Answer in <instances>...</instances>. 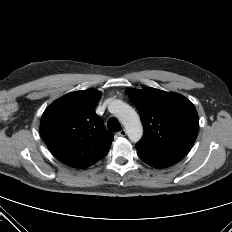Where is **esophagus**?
Listing matches in <instances>:
<instances>
[{"mask_svg": "<svg viewBox=\"0 0 232 232\" xmlns=\"http://www.w3.org/2000/svg\"><path fill=\"white\" fill-rule=\"evenodd\" d=\"M118 135L124 137L126 135V130L122 129L121 131L118 132Z\"/></svg>", "mask_w": 232, "mask_h": 232, "instance_id": "34e87169", "label": "esophagus"}]
</instances>
